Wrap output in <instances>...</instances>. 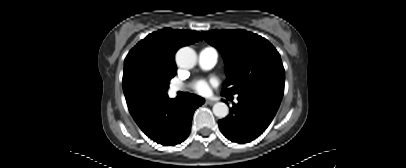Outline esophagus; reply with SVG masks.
<instances>
[{"label":"esophagus","instance_id":"esophagus-1","mask_svg":"<svg viewBox=\"0 0 406 168\" xmlns=\"http://www.w3.org/2000/svg\"><path fill=\"white\" fill-rule=\"evenodd\" d=\"M205 103L208 105H213L215 102L213 100H206Z\"/></svg>","mask_w":406,"mask_h":168}]
</instances>
